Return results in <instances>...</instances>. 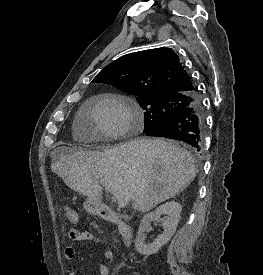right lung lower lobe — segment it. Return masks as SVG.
<instances>
[{
  "instance_id": "right-lung-lower-lobe-1",
  "label": "right lung lower lobe",
  "mask_w": 263,
  "mask_h": 275,
  "mask_svg": "<svg viewBox=\"0 0 263 275\" xmlns=\"http://www.w3.org/2000/svg\"><path fill=\"white\" fill-rule=\"evenodd\" d=\"M193 99L192 105L147 131L146 135L183 141L195 151L201 152L205 135L204 109L198 94Z\"/></svg>"
}]
</instances>
